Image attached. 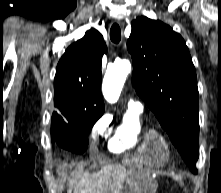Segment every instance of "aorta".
Here are the masks:
<instances>
[{
  "label": "aorta",
  "instance_id": "1",
  "mask_svg": "<svg viewBox=\"0 0 221 193\" xmlns=\"http://www.w3.org/2000/svg\"><path fill=\"white\" fill-rule=\"evenodd\" d=\"M131 71L129 60H121L110 66L103 79L102 92L109 103H116L124 82Z\"/></svg>",
  "mask_w": 221,
  "mask_h": 193
}]
</instances>
